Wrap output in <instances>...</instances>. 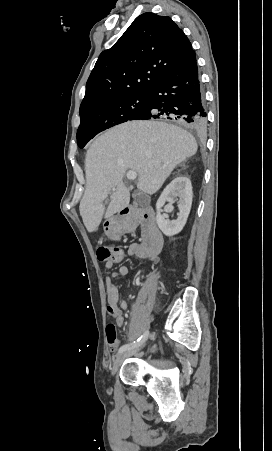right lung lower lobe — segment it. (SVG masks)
<instances>
[{
  "mask_svg": "<svg viewBox=\"0 0 272 451\" xmlns=\"http://www.w3.org/2000/svg\"><path fill=\"white\" fill-rule=\"evenodd\" d=\"M206 117L194 52L149 92L148 109L137 119L177 120L193 131H204Z\"/></svg>",
  "mask_w": 272,
  "mask_h": 451,
  "instance_id": "98d812e1",
  "label": "right lung lower lobe"
}]
</instances>
